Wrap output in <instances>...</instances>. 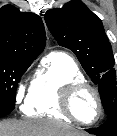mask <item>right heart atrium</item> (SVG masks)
I'll return each instance as SVG.
<instances>
[{
  "instance_id": "obj_1",
  "label": "right heart atrium",
  "mask_w": 117,
  "mask_h": 136,
  "mask_svg": "<svg viewBox=\"0 0 117 136\" xmlns=\"http://www.w3.org/2000/svg\"><path fill=\"white\" fill-rule=\"evenodd\" d=\"M25 91H26V85L24 82H20L17 85L16 91H15V102L17 104H20L24 98L25 95Z\"/></svg>"
}]
</instances>
